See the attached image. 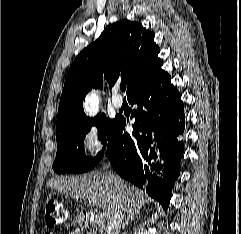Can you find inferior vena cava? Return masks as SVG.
I'll return each instance as SVG.
<instances>
[{"label":"inferior vena cava","mask_w":241,"mask_h":234,"mask_svg":"<svg viewBox=\"0 0 241 234\" xmlns=\"http://www.w3.org/2000/svg\"><path fill=\"white\" fill-rule=\"evenodd\" d=\"M118 186L120 187V183H118ZM125 211L126 209L123 205H116L114 212L108 219L106 234H119Z\"/></svg>","instance_id":"obj_1"}]
</instances>
